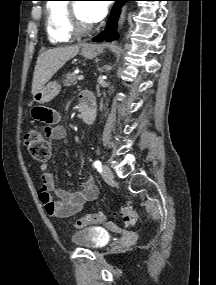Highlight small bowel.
I'll return each mask as SVG.
<instances>
[{
    "label": "small bowel",
    "mask_w": 216,
    "mask_h": 285,
    "mask_svg": "<svg viewBox=\"0 0 216 285\" xmlns=\"http://www.w3.org/2000/svg\"><path fill=\"white\" fill-rule=\"evenodd\" d=\"M82 102H93V97L89 93L81 95ZM33 117L40 121L37 133L44 136V141H59L67 137V130L64 126L58 124L59 115L57 112L45 108L36 107L33 110ZM44 123L48 125H44ZM49 125H53L49 130ZM49 130L48 136L46 132ZM42 186L39 190V199L43 204L45 211L49 216L56 218H66L73 216L81 211L84 204L92 201L98 196V188L92 177H88L80 183V189L76 191H67L55 187L54 178L48 170L47 162L41 165Z\"/></svg>",
    "instance_id": "c3829d8e"
}]
</instances>
